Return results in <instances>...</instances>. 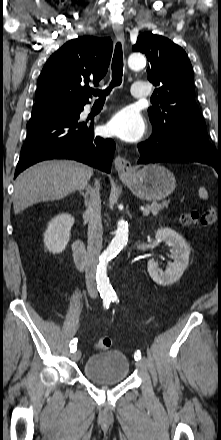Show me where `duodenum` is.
Returning <instances> with one entry per match:
<instances>
[{"mask_svg":"<svg viewBox=\"0 0 221 440\" xmlns=\"http://www.w3.org/2000/svg\"><path fill=\"white\" fill-rule=\"evenodd\" d=\"M73 255L76 266L84 269L87 264V253L82 240L78 239L73 244Z\"/></svg>","mask_w":221,"mask_h":440,"instance_id":"410a0bca","label":"duodenum"}]
</instances>
